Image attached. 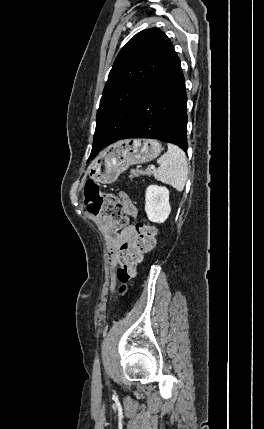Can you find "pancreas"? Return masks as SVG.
<instances>
[{
    "instance_id": "pancreas-1",
    "label": "pancreas",
    "mask_w": 264,
    "mask_h": 429,
    "mask_svg": "<svg viewBox=\"0 0 264 429\" xmlns=\"http://www.w3.org/2000/svg\"><path fill=\"white\" fill-rule=\"evenodd\" d=\"M130 173H131L132 177H139L141 175L151 176L153 174V171L151 169H149V168L146 169V170H140V169L136 168V169H132L130 171Z\"/></svg>"
}]
</instances>
